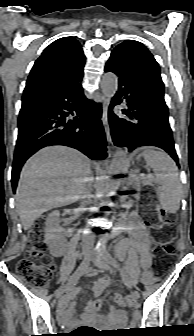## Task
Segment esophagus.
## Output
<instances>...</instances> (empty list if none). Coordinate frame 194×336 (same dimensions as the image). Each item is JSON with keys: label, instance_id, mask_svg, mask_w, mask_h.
<instances>
[{"label": "esophagus", "instance_id": "esophagus-1", "mask_svg": "<svg viewBox=\"0 0 194 336\" xmlns=\"http://www.w3.org/2000/svg\"><path fill=\"white\" fill-rule=\"evenodd\" d=\"M108 109H109V100L107 98H104L103 101V114H102V123L104 126V130L106 133L107 140L111 143V133H110V127L108 123Z\"/></svg>", "mask_w": 194, "mask_h": 336}]
</instances>
